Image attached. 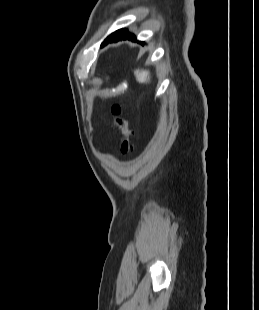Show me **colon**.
Segmentation results:
<instances>
[{
    "label": "colon",
    "mask_w": 259,
    "mask_h": 310,
    "mask_svg": "<svg viewBox=\"0 0 259 310\" xmlns=\"http://www.w3.org/2000/svg\"><path fill=\"white\" fill-rule=\"evenodd\" d=\"M111 112L113 114V126L117 128L121 133V141H120V151L122 154L127 155L132 150L131 143V131L129 129V125L127 120L121 115V108L118 105H114L111 108Z\"/></svg>",
    "instance_id": "5ec220e1"
}]
</instances>
